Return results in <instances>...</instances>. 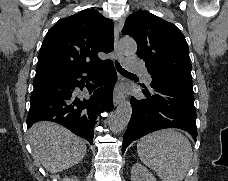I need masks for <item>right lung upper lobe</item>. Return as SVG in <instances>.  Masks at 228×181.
<instances>
[{
	"instance_id": "right-lung-upper-lobe-1",
	"label": "right lung upper lobe",
	"mask_w": 228,
	"mask_h": 181,
	"mask_svg": "<svg viewBox=\"0 0 228 181\" xmlns=\"http://www.w3.org/2000/svg\"><path fill=\"white\" fill-rule=\"evenodd\" d=\"M113 27L110 19L90 9L59 20L42 43L35 77L101 63L98 52L113 50Z\"/></svg>"
}]
</instances>
